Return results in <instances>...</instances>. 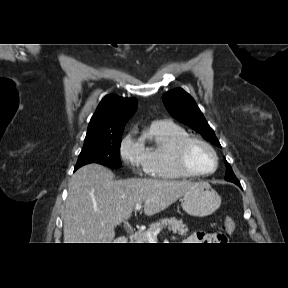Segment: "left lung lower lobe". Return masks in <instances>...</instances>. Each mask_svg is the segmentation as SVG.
<instances>
[{
	"mask_svg": "<svg viewBox=\"0 0 288 288\" xmlns=\"http://www.w3.org/2000/svg\"><path fill=\"white\" fill-rule=\"evenodd\" d=\"M233 183H235L236 185H238V186L241 188V185H240V182H239V181H235V182H233Z\"/></svg>",
	"mask_w": 288,
	"mask_h": 288,
	"instance_id": "1",
	"label": "left lung lower lobe"
}]
</instances>
